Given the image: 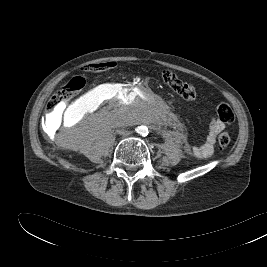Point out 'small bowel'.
Here are the masks:
<instances>
[{
	"label": "small bowel",
	"mask_w": 267,
	"mask_h": 267,
	"mask_svg": "<svg viewBox=\"0 0 267 267\" xmlns=\"http://www.w3.org/2000/svg\"><path fill=\"white\" fill-rule=\"evenodd\" d=\"M67 112L68 109H65L64 107L60 106L54 111L53 115L56 118L63 119ZM224 128H225V122H223L218 117L213 118L209 125V132L206 137V140L201 145L197 146H191L188 143H185L184 144L185 150L192 153L194 156L198 158L210 157L213 154L216 137Z\"/></svg>",
	"instance_id": "1"
}]
</instances>
